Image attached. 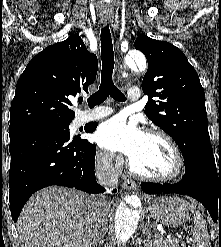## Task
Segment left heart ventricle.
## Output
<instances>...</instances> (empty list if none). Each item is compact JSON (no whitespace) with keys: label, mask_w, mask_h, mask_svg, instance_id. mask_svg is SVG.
I'll return each mask as SVG.
<instances>
[{"label":"left heart ventricle","mask_w":221,"mask_h":247,"mask_svg":"<svg viewBox=\"0 0 221 247\" xmlns=\"http://www.w3.org/2000/svg\"><path fill=\"white\" fill-rule=\"evenodd\" d=\"M130 160L137 171L153 176L169 175L175 169L174 154L168 144L158 137L146 134Z\"/></svg>","instance_id":"b2bd125f"}]
</instances>
